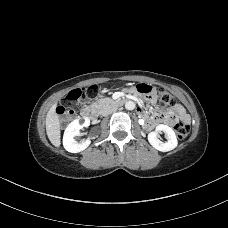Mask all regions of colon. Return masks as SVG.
<instances>
[{"label": "colon", "instance_id": "obj_1", "mask_svg": "<svg viewBox=\"0 0 228 228\" xmlns=\"http://www.w3.org/2000/svg\"><path fill=\"white\" fill-rule=\"evenodd\" d=\"M136 90L138 93L146 96L156 95L161 108H168L175 104V97L164 88L155 90L151 85L140 83L136 86ZM96 94V86L71 90L67 94L65 101L57 107V114L61 121L67 122L73 119L81 99L86 97L87 100L92 101L95 99ZM174 129L180 140L187 138L189 134V126L187 123L179 121L175 124Z\"/></svg>", "mask_w": 228, "mask_h": 228}]
</instances>
